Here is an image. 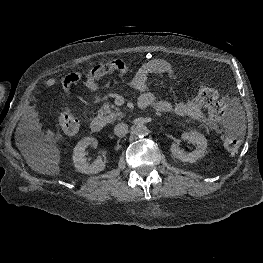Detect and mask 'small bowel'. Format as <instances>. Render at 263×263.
Returning a JSON list of instances; mask_svg holds the SVG:
<instances>
[{
	"instance_id": "small-bowel-1",
	"label": "small bowel",
	"mask_w": 263,
	"mask_h": 263,
	"mask_svg": "<svg viewBox=\"0 0 263 263\" xmlns=\"http://www.w3.org/2000/svg\"><path fill=\"white\" fill-rule=\"evenodd\" d=\"M118 61L123 62L121 60H115L93 67L85 76L84 85L86 89L95 93L98 91L97 81L104 75L112 71L124 73L129 70V68L126 67L118 69L115 66V62ZM150 74H165L172 81L178 82L177 74L170 63L160 58L149 59L137 70L134 77L128 82V85L131 88L141 93L139 104L145 105L146 107L154 106L160 112H174L178 116L189 117L197 120L213 131L219 130L217 119L203 113L202 104L199 102L198 97L188 101L178 102L174 105L167 100L158 99L155 94L150 92V85L148 82V76ZM81 79L82 74L80 72L70 73L65 76L61 81L63 93L68 94L71 86L79 82ZM56 84L57 80L55 78H49L45 81L46 88H52ZM36 106L37 98H34L30 112L27 116L32 125H36ZM46 138L51 140L53 138V133L48 131L46 133Z\"/></svg>"
}]
</instances>
